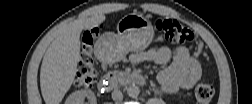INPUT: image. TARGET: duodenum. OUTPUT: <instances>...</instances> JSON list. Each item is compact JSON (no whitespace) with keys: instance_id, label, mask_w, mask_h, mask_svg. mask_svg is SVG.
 I'll return each instance as SVG.
<instances>
[{"instance_id":"obj_1","label":"duodenum","mask_w":252,"mask_h":104,"mask_svg":"<svg viewBox=\"0 0 252 104\" xmlns=\"http://www.w3.org/2000/svg\"><path fill=\"white\" fill-rule=\"evenodd\" d=\"M146 82V78L142 75L115 72L104 76L100 81L99 86L106 91L118 84L144 86Z\"/></svg>"}]
</instances>
